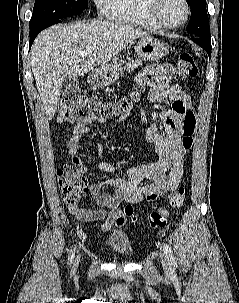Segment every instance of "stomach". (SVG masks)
Wrapping results in <instances>:
<instances>
[{
  "label": "stomach",
  "mask_w": 239,
  "mask_h": 303,
  "mask_svg": "<svg viewBox=\"0 0 239 303\" xmlns=\"http://www.w3.org/2000/svg\"><path fill=\"white\" fill-rule=\"evenodd\" d=\"M135 53L142 60L157 61L168 53V47L162 41L148 35L136 42ZM123 70L121 60L115 58L111 63L93 70L88 81L93 86L105 87L115 82L123 74Z\"/></svg>",
  "instance_id": "stomach-1"
}]
</instances>
